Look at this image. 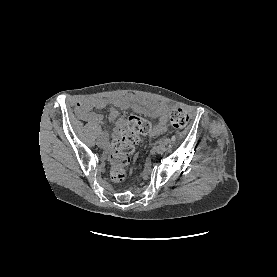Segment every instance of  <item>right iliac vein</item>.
Wrapping results in <instances>:
<instances>
[{"label": "right iliac vein", "instance_id": "63e3f726", "mask_svg": "<svg viewBox=\"0 0 277 277\" xmlns=\"http://www.w3.org/2000/svg\"><path fill=\"white\" fill-rule=\"evenodd\" d=\"M107 143H108V141H107L106 138H99V139L97 140V145H98L99 147H105V146L107 145Z\"/></svg>", "mask_w": 277, "mask_h": 277}]
</instances>
